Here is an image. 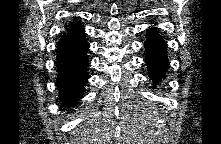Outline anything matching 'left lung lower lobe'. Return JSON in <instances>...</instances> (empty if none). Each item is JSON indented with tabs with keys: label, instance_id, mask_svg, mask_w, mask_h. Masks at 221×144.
<instances>
[{
	"label": "left lung lower lobe",
	"instance_id": "0a47b994",
	"mask_svg": "<svg viewBox=\"0 0 221 144\" xmlns=\"http://www.w3.org/2000/svg\"><path fill=\"white\" fill-rule=\"evenodd\" d=\"M146 64L148 66L149 77L153 81V86L166 77V70L169 62L167 61V45L162 36L150 29L145 41Z\"/></svg>",
	"mask_w": 221,
	"mask_h": 144
}]
</instances>
